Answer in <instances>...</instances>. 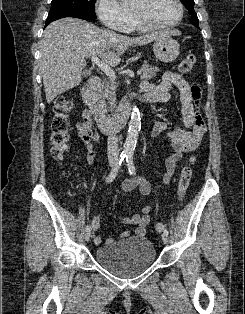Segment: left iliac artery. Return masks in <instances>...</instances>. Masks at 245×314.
Wrapping results in <instances>:
<instances>
[{
	"instance_id": "1",
	"label": "left iliac artery",
	"mask_w": 245,
	"mask_h": 314,
	"mask_svg": "<svg viewBox=\"0 0 245 314\" xmlns=\"http://www.w3.org/2000/svg\"><path fill=\"white\" fill-rule=\"evenodd\" d=\"M126 162H127V167H128L129 173L132 174V175H135L136 174V169H135V166H134V163H133V154H128L126 156ZM164 233L169 234L168 229H165Z\"/></svg>"
}]
</instances>
